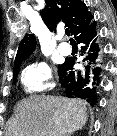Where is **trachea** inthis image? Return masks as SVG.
I'll use <instances>...</instances> for the list:
<instances>
[{"mask_svg":"<svg viewBox=\"0 0 117 136\" xmlns=\"http://www.w3.org/2000/svg\"><path fill=\"white\" fill-rule=\"evenodd\" d=\"M65 33H66V35H67L68 37L70 36V31H69V29H66V30H65ZM70 40H73V39L71 38Z\"/></svg>","mask_w":117,"mask_h":136,"instance_id":"1","label":"trachea"}]
</instances>
